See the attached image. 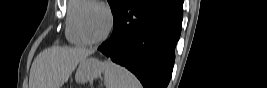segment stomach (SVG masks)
Here are the masks:
<instances>
[{
	"label": "stomach",
	"instance_id": "obj_1",
	"mask_svg": "<svg viewBox=\"0 0 267 88\" xmlns=\"http://www.w3.org/2000/svg\"><path fill=\"white\" fill-rule=\"evenodd\" d=\"M104 70L103 63L93 57L83 59L79 62L75 79L77 83L93 81L101 76Z\"/></svg>",
	"mask_w": 267,
	"mask_h": 88
}]
</instances>
